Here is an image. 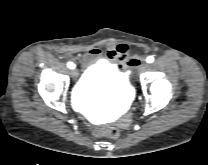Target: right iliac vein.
Here are the masks:
<instances>
[{"label": "right iliac vein", "instance_id": "1", "mask_svg": "<svg viewBox=\"0 0 208 165\" xmlns=\"http://www.w3.org/2000/svg\"><path fill=\"white\" fill-rule=\"evenodd\" d=\"M72 78L76 79L78 77V70L76 68H73L70 72Z\"/></svg>", "mask_w": 208, "mask_h": 165}]
</instances>
